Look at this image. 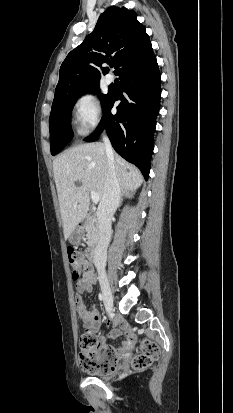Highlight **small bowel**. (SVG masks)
<instances>
[{"mask_svg": "<svg viewBox=\"0 0 233 413\" xmlns=\"http://www.w3.org/2000/svg\"><path fill=\"white\" fill-rule=\"evenodd\" d=\"M94 281L95 280L93 276H91L87 280L79 281L77 283L78 293L75 295V303H76V309L78 312V316L80 320L82 321L84 328L91 333L97 332L102 323V316L99 310L94 306L87 307L83 300L84 293H91L93 291ZM122 332L129 334L130 328L124 322V320L120 318H115L113 320V329L106 336H101L98 338L100 348L101 349L111 348L115 351L116 354L125 353L131 344L132 337L130 336V334H129L128 342L122 348L114 349L107 344V341L109 339H114L118 337Z\"/></svg>", "mask_w": 233, "mask_h": 413, "instance_id": "obj_1", "label": "small bowel"}]
</instances>
